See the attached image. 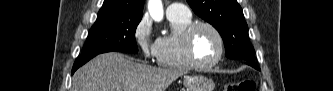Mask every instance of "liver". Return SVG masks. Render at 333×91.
I'll list each match as a JSON object with an SVG mask.
<instances>
[{"label":"liver","instance_id":"liver-1","mask_svg":"<svg viewBox=\"0 0 333 91\" xmlns=\"http://www.w3.org/2000/svg\"><path fill=\"white\" fill-rule=\"evenodd\" d=\"M184 74L182 70L155 68L109 52L75 72L72 91H165Z\"/></svg>","mask_w":333,"mask_h":91}]
</instances>
